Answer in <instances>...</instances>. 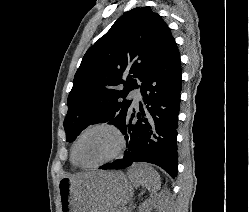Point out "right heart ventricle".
Listing matches in <instances>:
<instances>
[{"label": "right heart ventricle", "mask_w": 249, "mask_h": 212, "mask_svg": "<svg viewBox=\"0 0 249 212\" xmlns=\"http://www.w3.org/2000/svg\"><path fill=\"white\" fill-rule=\"evenodd\" d=\"M70 163L72 166L76 167V165L74 164L73 160H72V156L70 157Z\"/></svg>", "instance_id": "right-heart-ventricle-1"}]
</instances>
